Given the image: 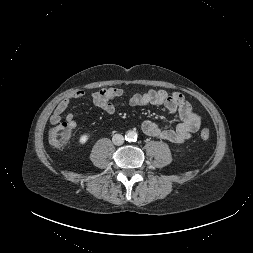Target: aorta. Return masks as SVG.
<instances>
[{
    "label": "aorta",
    "instance_id": "aorta-1",
    "mask_svg": "<svg viewBox=\"0 0 253 253\" xmlns=\"http://www.w3.org/2000/svg\"><path fill=\"white\" fill-rule=\"evenodd\" d=\"M126 140H128V141H134V140H136L137 139V134H136V132H134V131H129L127 134H126Z\"/></svg>",
    "mask_w": 253,
    "mask_h": 253
}]
</instances>
